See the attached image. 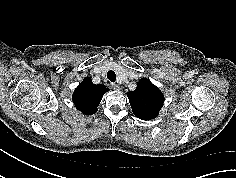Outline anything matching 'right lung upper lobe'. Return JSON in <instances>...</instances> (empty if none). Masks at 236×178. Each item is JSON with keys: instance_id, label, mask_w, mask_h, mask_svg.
<instances>
[{"instance_id": "1", "label": "right lung upper lobe", "mask_w": 236, "mask_h": 178, "mask_svg": "<svg viewBox=\"0 0 236 178\" xmlns=\"http://www.w3.org/2000/svg\"><path fill=\"white\" fill-rule=\"evenodd\" d=\"M109 89L103 85H95L90 78H85L73 93V102L78 110L86 115L94 114L102 99Z\"/></svg>"}]
</instances>
